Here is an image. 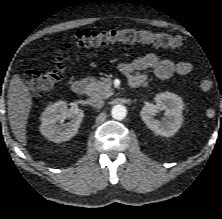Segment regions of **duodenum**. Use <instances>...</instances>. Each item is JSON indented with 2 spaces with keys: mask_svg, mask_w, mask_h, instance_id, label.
Instances as JSON below:
<instances>
[{
  "mask_svg": "<svg viewBox=\"0 0 222 219\" xmlns=\"http://www.w3.org/2000/svg\"><path fill=\"white\" fill-rule=\"evenodd\" d=\"M132 87H138L139 85H131ZM71 89L74 94L76 95H83L86 92L87 89V83L84 80H75L72 85Z\"/></svg>",
  "mask_w": 222,
  "mask_h": 219,
  "instance_id": "1",
  "label": "duodenum"
}]
</instances>
